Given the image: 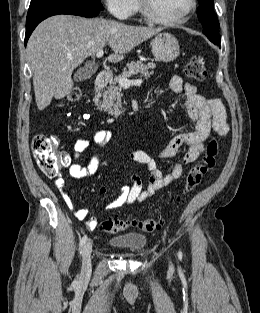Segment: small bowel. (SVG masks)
Returning a JSON list of instances; mask_svg holds the SVG:
<instances>
[{
    "instance_id": "1",
    "label": "small bowel",
    "mask_w": 260,
    "mask_h": 313,
    "mask_svg": "<svg viewBox=\"0 0 260 313\" xmlns=\"http://www.w3.org/2000/svg\"><path fill=\"white\" fill-rule=\"evenodd\" d=\"M169 87L176 94L183 93L184 106L191 120L192 130L175 136L158 153L163 159L174 157L178 151L185 148V153L180 163H176L170 172L164 174L157 166L154 158L142 150L130 151L127 158L135 163L144 165L148 171V181L144 186L143 180L136 174L127 177L129 184L121 187L119 196L108 204V208L115 209L135 202H142L150 198L155 192L167 187L173 181L184 174V166L196 161L204 153V141L213 130L219 136H226L229 132L226 109L220 99L207 98L197 93V88L191 83H183L179 76L170 79ZM95 143L104 148L110 138L111 131L96 128L93 132ZM88 146V140L84 137L77 139L73 145V152L66 156V167L72 178L80 179L94 175L100 166V155L96 153L87 165H80L76 161ZM55 185L58 188L63 202L72 211L74 217L85 221L89 229L97 227L96 218H88L86 209L76 208L70 198L64 181L57 179ZM105 189L100 188L99 194H104Z\"/></svg>"
}]
</instances>
